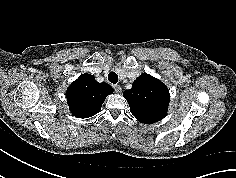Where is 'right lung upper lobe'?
<instances>
[{
    "label": "right lung upper lobe",
    "mask_w": 236,
    "mask_h": 178,
    "mask_svg": "<svg viewBox=\"0 0 236 178\" xmlns=\"http://www.w3.org/2000/svg\"><path fill=\"white\" fill-rule=\"evenodd\" d=\"M112 92L111 86L98 83L94 76L85 73L69 86L66 98L74 116L88 118L100 112L105 98Z\"/></svg>",
    "instance_id": "1"
}]
</instances>
